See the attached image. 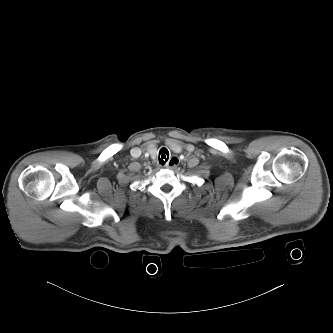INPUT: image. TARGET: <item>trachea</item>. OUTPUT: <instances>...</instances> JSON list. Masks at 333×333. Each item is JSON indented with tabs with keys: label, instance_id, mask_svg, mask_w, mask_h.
I'll use <instances>...</instances> for the list:
<instances>
[{
	"label": "trachea",
	"instance_id": "obj_1",
	"mask_svg": "<svg viewBox=\"0 0 333 333\" xmlns=\"http://www.w3.org/2000/svg\"><path fill=\"white\" fill-rule=\"evenodd\" d=\"M169 158V151L166 148H161L159 151V163L164 165Z\"/></svg>",
	"mask_w": 333,
	"mask_h": 333
}]
</instances>
